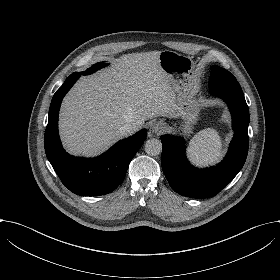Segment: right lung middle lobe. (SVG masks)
I'll return each instance as SVG.
<instances>
[{
    "label": "right lung middle lobe",
    "instance_id": "right-lung-middle-lobe-1",
    "mask_svg": "<svg viewBox=\"0 0 280 280\" xmlns=\"http://www.w3.org/2000/svg\"><path fill=\"white\" fill-rule=\"evenodd\" d=\"M108 64L107 63H97L95 65H93L92 67H90L89 69H87L86 71L82 72L83 75H88V74H92L93 72L97 71L98 69L104 67V66H107Z\"/></svg>",
    "mask_w": 280,
    "mask_h": 280
}]
</instances>
